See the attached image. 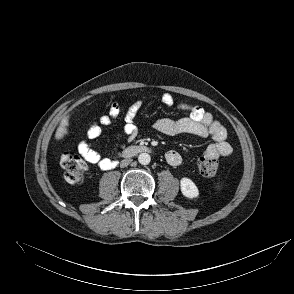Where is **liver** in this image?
Wrapping results in <instances>:
<instances>
[{"mask_svg": "<svg viewBox=\"0 0 294 294\" xmlns=\"http://www.w3.org/2000/svg\"><path fill=\"white\" fill-rule=\"evenodd\" d=\"M68 126H69V115L64 117L61 120V122H60V124H59V126H58V128L56 130V133H55V139L56 140H60L65 135L68 134V128H67Z\"/></svg>", "mask_w": 294, "mask_h": 294, "instance_id": "liver-1", "label": "liver"}]
</instances>
